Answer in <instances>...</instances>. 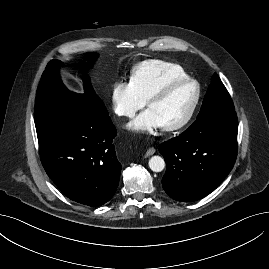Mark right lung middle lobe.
Wrapping results in <instances>:
<instances>
[{
  "label": "right lung middle lobe",
  "instance_id": "right-lung-middle-lobe-1",
  "mask_svg": "<svg viewBox=\"0 0 269 269\" xmlns=\"http://www.w3.org/2000/svg\"><path fill=\"white\" fill-rule=\"evenodd\" d=\"M86 56L92 64L97 54L87 53ZM60 65L61 62L55 60L46 67L37 89L34 118L38 140L72 127L82 117L110 118L90 79L84 76V94L71 92L60 79Z\"/></svg>",
  "mask_w": 269,
  "mask_h": 269
}]
</instances>
